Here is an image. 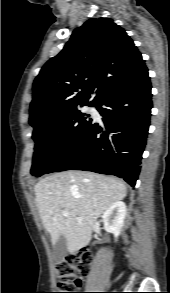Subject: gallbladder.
Masks as SVG:
<instances>
[{
	"label": "gallbladder",
	"mask_w": 170,
	"mask_h": 293,
	"mask_svg": "<svg viewBox=\"0 0 170 293\" xmlns=\"http://www.w3.org/2000/svg\"><path fill=\"white\" fill-rule=\"evenodd\" d=\"M53 258L56 262H62L67 255V244L64 236H60L52 247Z\"/></svg>",
	"instance_id": "bac80fb5"
}]
</instances>
